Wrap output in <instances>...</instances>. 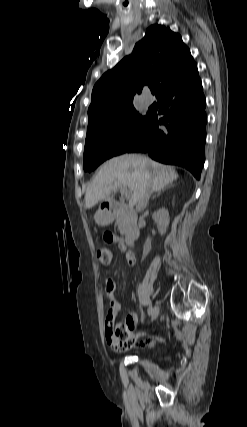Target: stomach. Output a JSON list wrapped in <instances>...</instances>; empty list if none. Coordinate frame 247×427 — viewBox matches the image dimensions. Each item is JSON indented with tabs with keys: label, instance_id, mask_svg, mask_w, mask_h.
Here are the masks:
<instances>
[{
	"label": "stomach",
	"instance_id": "stomach-1",
	"mask_svg": "<svg viewBox=\"0 0 247 427\" xmlns=\"http://www.w3.org/2000/svg\"><path fill=\"white\" fill-rule=\"evenodd\" d=\"M113 220V215L107 210H98L95 214V221L98 225L105 226L111 223Z\"/></svg>",
	"mask_w": 247,
	"mask_h": 427
}]
</instances>
